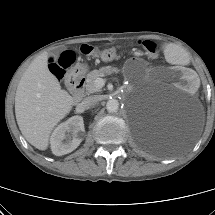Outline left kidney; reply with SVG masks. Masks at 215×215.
Here are the masks:
<instances>
[{
    "label": "left kidney",
    "instance_id": "5707ae66",
    "mask_svg": "<svg viewBox=\"0 0 215 215\" xmlns=\"http://www.w3.org/2000/svg\"><path fill=\"white\" fill-rule=\"evenodd\" d=\"M168 78L172 82L183 86L187 92H194L199 87V77L190 70L172 67L168 71Z\"/></svg>",
    "mask_w": 215,
    "mask_h": 215
}]
</instances>
